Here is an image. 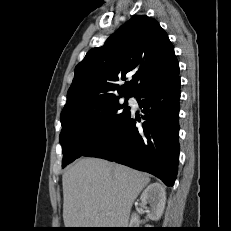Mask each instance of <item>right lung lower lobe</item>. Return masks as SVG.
<instances>
[{"mask_svg":"<svg viewBox=\"0 0 231 231\" xmlns=\"http://www.w3.org/2000/svg\"><path fill=\"white\" fill-rule=\"evenodd\" d=\"M135 97L143 108L142 128L130 114L121 128L106 142L83 156L104 158L151 173L173 186L178 172L180 77L157 82Z\"/></svg>","mask_w":231,"mask_h":231,"instance_id":"obj_1","label":"right lung lower lobe"}]
</instances>
